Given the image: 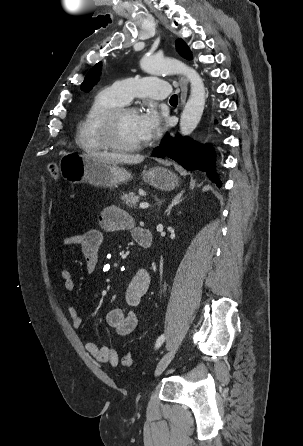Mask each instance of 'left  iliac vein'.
Returning a JSON list of instances; mask_svg holds the SVG:
<instances>
[{"label": "left iliac vein", "instance_id": "4c4485c4", "mask_svg": "<svg viewBox=\"0 0 303 446\" xmlns=\"http://www.w3.org/2000/svg\"><path fill=\"white\" fill-rule=\"evenodd\" d=\"M174 355L175 349H172L160 359L155 369V376H159L167 368Z\"/></svg>", "mask_w": 303, "mask_h": 446}]
</instances>
